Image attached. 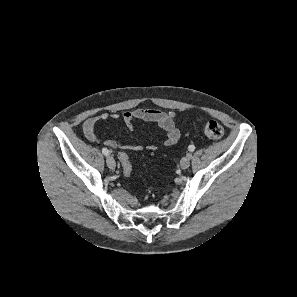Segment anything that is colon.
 I'll return each instance as SVG.
<instances>
[{
	"label": "colon",
	"mask_w": 297,
	"mask_h": 297,
	"mask_svg": "<svg viewBox=\"0 0 297 297\" xmlns=\"http://www.w3.org/2000/svg\"><path fill=\"white\" fill-rule=\"evenodd\" d=\"M203 133L206 137L212 140H219L224 134L223 127L214 120L203 121ZM119 159L123 165L125 175L129 176L132 173V165L127 153L122 152L119 155Z\"/></svg>",
	"instance_id": "5ec220e1"
}]
</instances>
